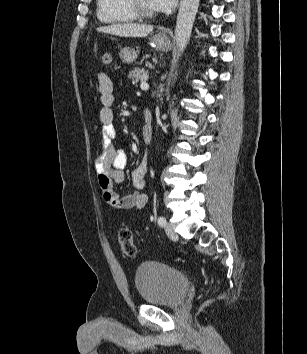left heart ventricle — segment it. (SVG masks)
<instances>
[{"label":"left heart ventricle","instance_id":"left-heart-ventricle-1","mask_svg":"<svg viewBox=\"0 0 307 354\" xmlns=\"http://www.w3.org/2000/svg\"><path fill=\"white\" fill-rule=\"evenodd\" d=\"M140 2L143 5V7L146 8L147 10L155 11L154 8L151 5V1L150 0H140Z\"/></svg>","mask_w":307,"mask_h":354}]
</instances>
